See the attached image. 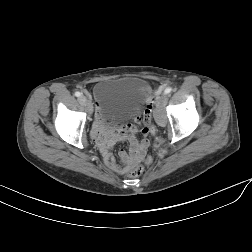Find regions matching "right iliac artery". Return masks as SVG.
Segmentation results:
<instances>
[{
    "mask_svg": "<svg viewBox=\"0 0 252 252\" xmlns=\"http://www.w3.org/2000/svg\"><path fill=\"white\" fill-rule=\"evenodd\" d=\"M75 96H76V97H80V96H81V93H80V92H75Z\"/></svg>",
    "mask_w": 252,
    "mask_h": 252,
    "instance_id": "1",
    "label": "right iliac artery"
}]
</instances>
